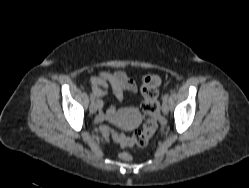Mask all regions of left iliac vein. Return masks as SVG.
Returning <instances> with one entry per match:
<instances>
[{
  "mask_svg": "<svg viewBox=\"0 0 249 188\" xmlns=\"http://www.w3.org/2000/svg\"><path fill=\"white\" fill-rule=\"evenodd\" d=\"M162 112L164 115H167L169 113V106L165 101H163L162 103Z\"/></svg>",
  "mask_w": 249,
  "mask_h": 188,
  "instance_id": "obj_1",
  "label": "left iliac vein"
}]
</instances>
